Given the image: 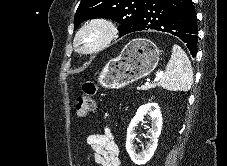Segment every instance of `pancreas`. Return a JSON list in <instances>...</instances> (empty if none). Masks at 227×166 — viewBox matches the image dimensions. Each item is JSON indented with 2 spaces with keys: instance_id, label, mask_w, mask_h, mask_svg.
<instances>
[{
  "instance_id": "1",
  "label": "pancreas",
  "mask_w": 227,
  "mask_h": 166,
  "mask_svg": "<svg viewBox=\"0 0 227 166\" xmlns=\"http://www.w3.org/2000/svg\"><path fill=\"white\" fill-rule=\"evenodd\" d=\"M155 87H156V85H155V84L148 85V86H146V85H142L141 87H138L137 89H138V90H149V89H151V88H155Z\"/></svg>"
}]
</instances>
